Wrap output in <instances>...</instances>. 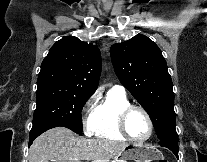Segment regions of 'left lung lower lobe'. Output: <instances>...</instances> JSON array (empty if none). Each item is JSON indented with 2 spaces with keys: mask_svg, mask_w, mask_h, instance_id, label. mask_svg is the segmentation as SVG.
Returning a JSON list of instances; mask_svg holds the SVG:
<instances>
[{
  "mask_svg": "<svg viewBox=\"0 0 207 162\" xmlns=\"http://www.w3.org/2000/svg\"><path fill=\"white\" fill-rule=\"evenodd\" d=\"M160 145L170 149L178 158V135H171L159 141Z\"/></svg>",
  "mask_w": 207,
  "mask_h": 162,
  "instance_id": "1",
  "label": "left lung lower lobe"
}]
</instances>
